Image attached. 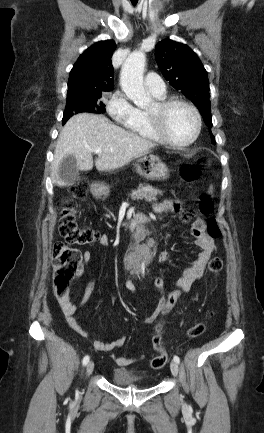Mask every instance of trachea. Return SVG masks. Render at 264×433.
<instances>
[{"label": "trachea", "instance_id": "3493384b", "mask_svg": "<svg viewBox=\"0 0 264 433\" xmlns=\"http://www.w3.org/2000/svg\"><path fill=\"white\" fill-rule=\"evenodd\" d=\"M131 3L133 6H135L138 3V0H131Z\"/></svg>", "mask_w": 264, "mask_h": 433}]
</instances>
